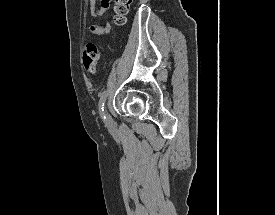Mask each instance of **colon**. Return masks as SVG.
Returning <instances> with one entry per match:
<instances>
[{"label":"colon","mask_w":275,"mask_h":215,"mask_svg":"<svg viewBox=\"0 0 275 215\" xmlns=\"http://www.w3.org/2000/svg\"><path fill=\"white\" fill-rule=\"evenodd\" d=\"M132 0H114V21L117 25L125 22L129 12ZM101 54L95 42H86L82 49V63L84 69L89 74H95L98 71Z\"/></svg>","instance_id":"5ec220e1"}]
</instances>
